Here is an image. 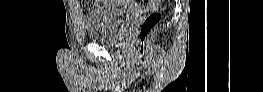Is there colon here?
<instances>
[{
  "label": "colon",
  "instance_id": "1",
  "mask_svg": "<svg viewBox=\"0 0 263 92\" xmlns=\"http://www.w3.org/2000/svg\"><path fill=\"white\" fill-rule=\"evenodd\" d=\"M160 20H161V13L158 11H152L144 19L139 30V38H140L139 50L141 52H144L146 50L147 39L150 33L152 32V30L160 22Z\"/></svg>",
  "mask_w": 263,
  "mask_h": 92
}]
</instances>
